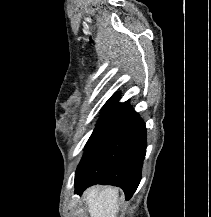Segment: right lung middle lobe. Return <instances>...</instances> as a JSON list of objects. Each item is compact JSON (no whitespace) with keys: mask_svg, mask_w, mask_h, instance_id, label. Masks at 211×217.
I'll return each instance as SVG.
<instances>
[{"mask_svg":"<svg viewBox=\"0 0 211 217\" xmlns=\"http://www.w3.org/2000/svg\"><path fill=\"white\" fill-rule=\"evenodd\" d=\"M114 121L113 119H101L97 123L91 137L89 138L87 144H86V149L85 153L90 149V147L93 145V143L96 141L98 136L107 128V126ZM84 153V155H85Z\"/></svg>","mask_w":211,"mask_h":217,"instance_id":"right-lung-middle-lobe-1","label":"right lung middle lobe"}]
</instances>
